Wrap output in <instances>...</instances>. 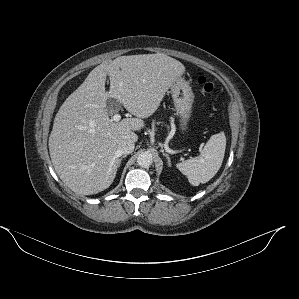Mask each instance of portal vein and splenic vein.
<instances>
[{
  "instance_id": "portal-vein-and-splenic-vein-1",
  "label": "portal vein and splenic vein",
  "mask_w": 299,
  "mask_h": 299,
  "mask_svg": "<svg viewBox=\"0 0 299 299\" xmlns=\"http://www.w3.org/2000/svg\"><path fill=\"white\" fill-rule=\"evenodd\" d=\"M120 119H121L120 114H114V115L112 116V120L115 121V122H119Z\"/></svg>"
}]
</instances>
